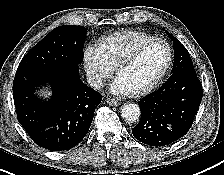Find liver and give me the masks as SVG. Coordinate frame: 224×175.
I'll list each match as a JSON object with an SVG mask.
<instances>
[{
    "mask_svg": "<svg viewBox=\"0 0 224 175\" xmlns=\"http://www.w3.org/2000/svg\"><path fill=\"white\" fill-rule=\"evenodd\" d=\"M41 93L44 95V97H48L51 95V92H44V91H41Z\"/></svg>",
    "mask_w": 224,
    "mask_h": 175,
    "instance_id": "liver-1",
    "label": "liver"
}]
</instances>
